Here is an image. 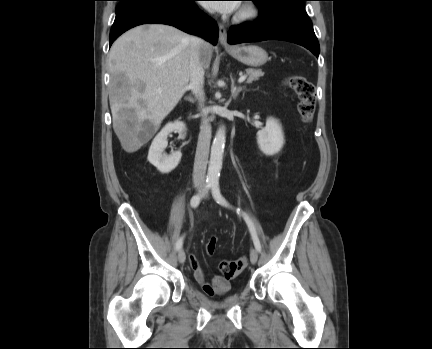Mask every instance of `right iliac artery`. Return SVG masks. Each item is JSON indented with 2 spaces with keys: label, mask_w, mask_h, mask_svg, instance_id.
Returning <instances> with one entry per match:
<instances>
[{
  "label": "right iliac artery",
  "mask_w": 432,
  "mask_h": 349,
  "mask_svg": "<svg viewBox=\"0 0 432 349\" xmlns=\"http://www.w3.org/2000/svg\"><path fill=\"white\" fill-rule=\"evenodd\" d=\"M211 186H212V183L207 182V183L205 184V187H204V191H203V193H202V194L194 195V196L191 198V200H190V205H191L192 208H196V207L199 205L202 196H203L206 192H208V190L211 188ZM182 245H183V237H180V238L178 239V241L176 242V249H177V250H180V249L182 248Z\"/></svg>",
  "instance_id": "1"
}]
</instances>
